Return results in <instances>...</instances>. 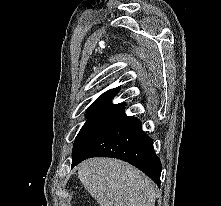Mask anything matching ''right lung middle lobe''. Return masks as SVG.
I'll return each mask as SVG.
<instances>
[{"mask_svg": "<svg viewBox=\"0 0 221 206\" xmlns=\"http://www.w3.org/2000/svg\"><path fill=\"white\" fill-rule=\"evenodd\" d=\"M124 110L121 107H90L86 114L87 121L74 142L72 160L77 159L97 137L121 118Z\"/></svg>", "mask_w": 221, "mask_h": 206, "instance_id": "1", "label": "right lung middle lobe"}]
</instances>
